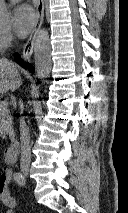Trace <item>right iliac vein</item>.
<instances>
[{
	"mask_svg": "<svg viewBox=\"0 0 128 213\" xmlns=\"http://www.w3.org/2000/svg\"><path fill=\"white\" fill-rule=\"evenodd\" d=\"M21 172L24 174V176H27L29 174V167H22Z\"/></svg>",
	"mask_w": 128,
	"mask_h": 213,
	"instance_id": "right-iliac-vein-1",
	"label": "right iliac vein"
}]
</instances>
